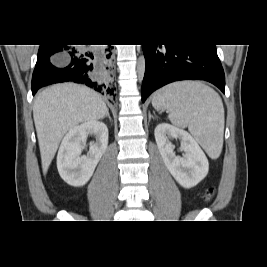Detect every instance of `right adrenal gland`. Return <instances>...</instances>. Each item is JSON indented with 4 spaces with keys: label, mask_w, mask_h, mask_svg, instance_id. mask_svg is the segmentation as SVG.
I'll list each match as a JSON object with an SVG mask.
<instances>
[{
    "label": "right adrenal gland",
    "mask_w": 267,
    "mask_h": 267,
    "mask_svg": "<svg viewBox=\"0 0 267 267\" xmlns=\"http://www.w3.org/2000/svg\"><path fill=\"white\" fill-rule=\"evenodd\" d=\"M105 117H108V119H109L110 122L112 121V119H111V117H110V114H109V111H108V110H107V112H106Z\"/></svg>",
    "instance_id": "right-adrenal-gland-1"
}]
</instances>
